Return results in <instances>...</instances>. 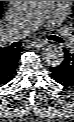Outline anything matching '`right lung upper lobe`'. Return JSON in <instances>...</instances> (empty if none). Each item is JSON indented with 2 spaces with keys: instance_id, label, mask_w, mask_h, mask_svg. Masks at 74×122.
<instances>
[{
  "instance_id": "1",
  "label": "right lung upper lobe",
  "mask_w": 74,
  "mask_h": 122,
  "mask_svg": "<svg viewBox=\"0 0 74 122\" xmlns=\"http://www.w3.org/2000/svg\"><path fill=\"white\" fill-rule=\"evenodd\" d=\"M1 16H2V1H0V19H1Z\"/></svg>"
}]
</instances>
